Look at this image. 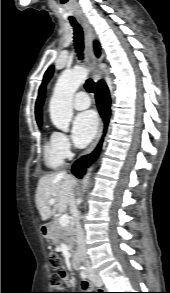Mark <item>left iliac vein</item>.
I'll use <instances>...</instances> for the list:
<instances>
[{"label":"left iliac vein","mask_w":170,"mask_h":293,"mask_svg":"<svg viewBox=\"0 0 170 293\" xmlns=\"http://www.w3.org/2000/svg\"><path fill=\"white\" fill-rule=\"evenodd\" d=\"M88 276L95 286L101 287L103 285V281L101 277L98 274H96L94 271H89Z\"/></svg>","instance_id":"1"}]
</instances>
